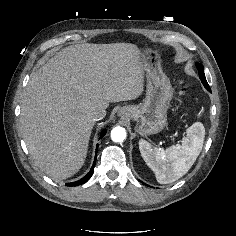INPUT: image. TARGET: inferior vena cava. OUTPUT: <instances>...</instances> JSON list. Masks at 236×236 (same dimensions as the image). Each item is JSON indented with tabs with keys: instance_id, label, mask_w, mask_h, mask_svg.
Instances as JSON below:
<instances>
[{
	"instance_id": "obj_1",
	"label": "inferior vena cava",
	"mask_w": 236,
	"mask_h": 236,
	"mask_svg": "<svg viewBox=\"0 0 236 236\" xmlns=\"http://www.w3.org/2000/svg\"><path fill=\"white\" fill-rule=\"evenodd\" d=\"M106 112L104 109L101 108H94L91 112H90V117L92 118V120L94 121H98L101 120L105 117Z\"/></svg>"
}]
</instances>
